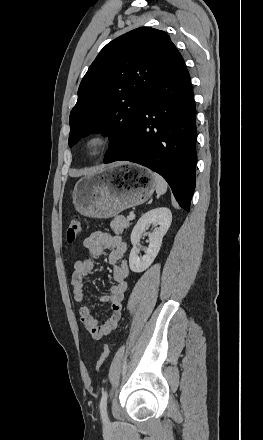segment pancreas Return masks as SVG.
<instances>
[{
    "label": "pancreas",
    "mask_w": 263,
    "mask_h": 440,
    "mask_svg": "<svg viewBox=\"0 0 263 440\" xmlns=\"http://www.w3.org/2000/svg\"><path fill=\"white\" fill-rule=\"evenodd\" d=\"M130 225V221L122 215L115 217L110 224L115 234H121L124 229L129 228Z\"/></svg>",
    "instance_id": "obj_1"
}]
</instances>
